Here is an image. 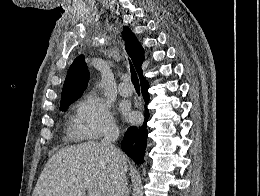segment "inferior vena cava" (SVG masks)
Masks as SVG:
<instances>
[{
	"mask_svg": "<svg viewBox=\"0 0 260 196\" xmlns=\"http://www.w3.org/2000/svg\"><path fill=\"white\" fill-rule=\"evenodd\" d=\"M119 132L116 130H111L106 134L105 138L100 142V148L107 152V154H111L113 162L119 164V168L115 174L113 190L110 196H125L126 192V172H127V162L125 156H122L120 152H118L117 148L114 146L115 140H118Z\"/></svg>",
	"mask_w": 260,
	"mask_h": 196,
	"instance_id": "obj_1",
	"label": "inferior vena cava"
}]
</instances>
